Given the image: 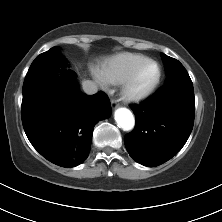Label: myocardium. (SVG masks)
I'll use <instances>...</instances> for the list:
<instances>
[{"instance_id":"1","label":"myocardium","mask_w":222,"mask_h":222,"mask_svg":"<svg viewBox=\"0 0 222 222\" xmlns=\"http://www.w3.org/2000/svg\"><path fill=\"white\" fill-rule=\"evenodd\" d=\"M149 64H152L156 68V75L153 81L142 91L137 92L134 89L136 81L141 73V71ZM161 80V67L160 65L151 59H147L140 63L130 75L122 82L121 86V97L123 100L132 103H138L146 100L156 89Z\"/></svg>"}]
</instances>
